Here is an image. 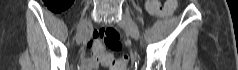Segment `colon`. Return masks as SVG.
Listing matches in <instances>:
<instances>
[{
  "label": "colon",
  "instance_id": "5ec220e1",
  "mask_svg": "<svg viewBox=\"0 0 238 70\" xmlns=\"http://www.w3.org/2000/svg\"><path fill=\"white\" fill-rule=\"evenodd\" d=\"M71 4L70 0H48V5L51 11L55 13H62ZM176 0H168L163 7L159 1L151 0L147 2V7L152 13H158L160 15L170 14L176 7ZM120 33L114 28H100L94 31L93 40L94 47L96 51L105 60V65L109 67L110 70H126L127 61L125 58L113 59L107 58L105 55V48L112 50H119L121 48V43L119 42Z\"/></svg>",
  "mask_w": 238,
  "mask_h": 70
}]
</instances>
